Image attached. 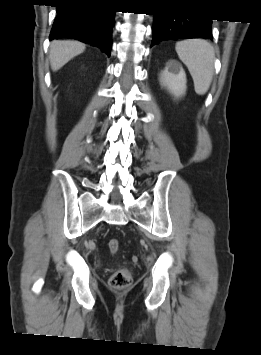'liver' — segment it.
<instances>
[{
    "label": "liver",
    "instance_id": "obj_1",
    "mask_svg": "<svg viewBox=\"0 0 261 355\" xmlns=\"http://www.w3.org/2000/svg\"><path fill=\"white\" fill-rule=\"evenodd\" d=\"M85 44L78 41L56 40L50 45V65L53 71L59 70L75 56L83 53Z\"/></svg>",
    "mask_w": 261,
    "mask_h": 355
}]
</instances>
